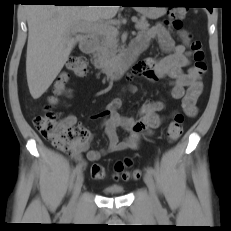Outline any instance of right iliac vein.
I'll return each mask as SVG.
<instances>
[{
    "label": "right iliac vein",
    "mask_w": 231,
    "mask_h": 231,
    "mask_svg": "<svg viewBox=\"0 0 231 231\" xmlns=\"http://www.w3.org/2000/svg\"><path fill=\"white\" fill-rule=\"evenodd\" d=\"M83 180H84L83 175L81 173L78 174V176L75 180V184H74L73 197H72L70 204H69V209H71V210H73L75 208L77 197L79 196V193H80L82 185H83Z\"/></svg>",
    "instance_id": "right-iliac-vein-1"
}]
</instances>
